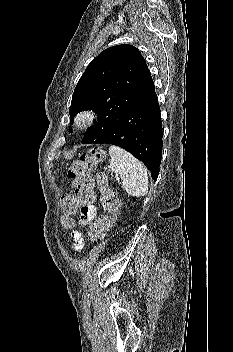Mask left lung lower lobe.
<instances>
[{
  "mask_svg": "<svg viewBox=\"0 0 233 352\" xmlns=\"http://www.w3.org/2000/svg\"><path fill=\"white\" fill-rule=\"evenodd\" d=\"M93 144H113L142 161L157 180L162 157V122L155 90L125 113Z\"/></svg>",
  "mask_w": 233,
  "mask_h": 352,
  "instance_id": "obj_1",
  "label": "left lung lower lobe"
}]
</instances>
